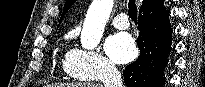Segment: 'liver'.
<instances>
[{
	"mask_svg": "<svg viewBox=\"0 0 205 87\" xmlns=\"http://www.w3.org/2000/svg\"><path fill=\"white\" fill-rule=\"evenodd\" d=\"M52 87H102L100 84L93 83H64L54 84Z\"/></svg>",
	"mask_w": 205,
	"mask_h": 87,
	"instance_id": "liver-1",
	"label": "liver"
}]
</instances>
